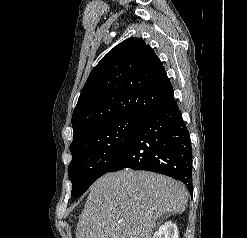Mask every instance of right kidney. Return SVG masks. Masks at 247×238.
<instances>
[{
	"label": "right kidney",
	"instance_id": "ca27d5eb",
	"mask_svg": "<svg viewBox=\"0 0 247 238\" xmlns=\"http://www.w3.org/2000/svg\"><path fill=\"white\" fill-rule=\"evenodd\" d=\"M153 238H178L177 225L172 222H166L154 233Z\"/></svg>",
	"mask_w": 247,
	"mask_h": 238
}]
</instances>
